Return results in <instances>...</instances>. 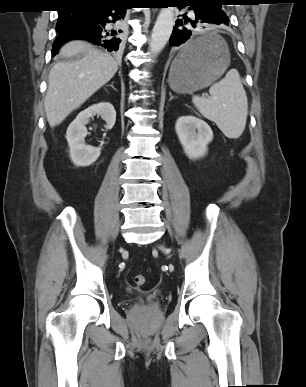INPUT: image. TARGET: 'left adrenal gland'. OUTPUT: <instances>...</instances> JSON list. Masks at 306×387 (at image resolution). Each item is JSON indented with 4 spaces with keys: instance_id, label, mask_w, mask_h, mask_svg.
Instances as JSON below:
<instances>
[{
    "instance_id": "left-adrenal-gland-1",
    "label": "left adrenal gland",
    "mask_w": 306,
    "mask_h": 387,
    "mask_svg": "<svg viewBox=\"0 0 306 387\" xmlns=\"http://www.w3.org/2000/svg\"><path fill=\"white\" fill-rule=\"evenodd\" d=\"M173 99V96L170 94V101Z\"/></svg>"
}]
</instances>
